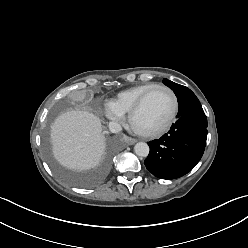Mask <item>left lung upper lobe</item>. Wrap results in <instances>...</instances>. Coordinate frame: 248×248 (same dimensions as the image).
Here are the masks:
<instances>
[{
    "label": "left lung upper lobe",
    "instance_id": "left-lung-upper-lobe-1",
    "mask_svg": "<svg viewBox=\"0 0 248 248\" xmlns=\"http://www.w3.org/2000/svg\"><path fill=\"white\" fill-rule=\"evenodd\" d=\"M163 83L168 86L169 88H171L174 93L176 94L177 98H178V103L179 100H185L190 94H192L193 92L188 89L187 87L174 83L170 80L167 79H163Z\"/></svg>",
    "mask_w": 248,
    "mask_h": 248
}]
</instances>
